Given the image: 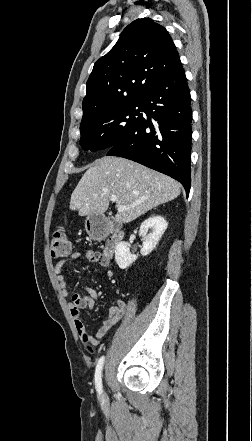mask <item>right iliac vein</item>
<instances>
[{"instance_id": "1", "label": "right iliac vein", "mask_w": 252, "mask_h": 441, "mask_svg": "<svg viewBox=\"0 0 252 441\" xmlns=\"http://www.w3.org/2000/svg\"><path fill=\"white\" fill-rule=\"evenodd\" d=\"M105 396H104V394L102 395V398H104Z\"/></svg>"}]
</instances>
